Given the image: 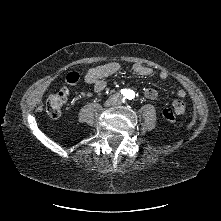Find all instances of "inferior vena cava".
<instances>
[{"label": "inferior vena cava", "mask_w": 221, "mask_h": 221, "mask_svg": "<svg viewBox=\"0 0 221 221\" xmlns=\"http://www.w3.org/2000/svg\"><path fill=\"white\" fill-rule=\"evenodd\" d=\"M121 94H119V93H114L111 97H110V99H111V101H113V102H117L118 100H120L121 99Z\"/></svg>", "instance_id": "602c4592"}]
</instances>
